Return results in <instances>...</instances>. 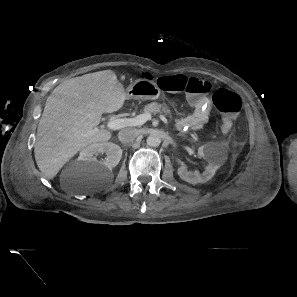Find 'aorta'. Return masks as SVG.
I'll use <instances>...</instances> for the list:
<instances>
[{"mask_svg":"<svg viewBox=\"0 0 297 297\" xmlns=\"http://www.w3.org/2000/svg\"><path fill=\"white\" fill-rule=\"evenodd\" d=\"M146 142L151 147H157L161 143V137L158 134H151L147 137Z\"/></svg>","mask_w":297,"mask_h":297,"instance_id":"1","label":"aorta"}]
</instances>
